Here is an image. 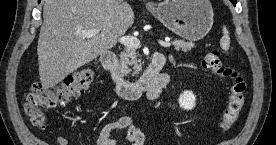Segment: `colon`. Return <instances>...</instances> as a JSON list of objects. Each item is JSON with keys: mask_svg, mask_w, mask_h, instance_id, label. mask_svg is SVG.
I'll use <instances>...</instances> for the list:
<instances>
[{"mask_svg": "<svg viewBox=\"0 0 276 145\" xmlns=\"http://www.w3.org/2000/svg\"><path fill=\"white\" fill-rule=\"evenodd\" d=\"M202 66L210 73L231 82L228 103L219 124L222 131H227L236 123L243 109L246 83L236 70L223 66L217 50L204 56ZM93 80L94 73L91 70H81L67 75L57 86L47 87L41 83H33L24 101V110L32 125L43 126L46 110L64 104L88 90Z\"/></svg>", "mask_w": 276, "mask_h": 145, "instance_id": "5ec220e1", "label": "colon"}]
</instances>
